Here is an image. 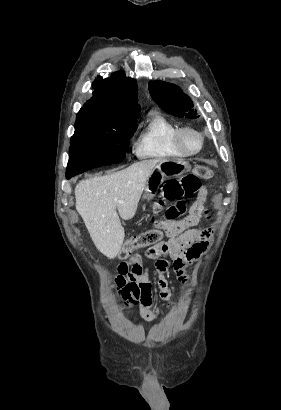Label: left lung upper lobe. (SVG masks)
<instances>
[{
    "label": "left lung upper lobe",
    "mask_w": 281,
    "mask_h": 410,
    "mask_svg": "<svg viewBox=\"0 0 281 410\" xmlns=\"http://www.w3.org/2000/svg\"><path fill=\"white\" fill-rule=\"evenodd\" d=\"M149 92L152 99L165 112L177 117L197 118L190 97L177 86L161 81H150Z\"/></svg>",
    "instance_id": "5c2ea615"
}]
</instances>
